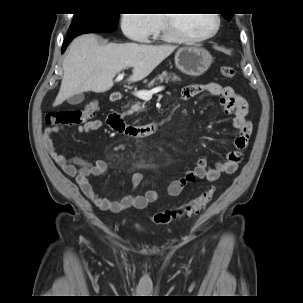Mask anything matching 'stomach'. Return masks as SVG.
<instances>
[{
    "mask_svg": "<svg viewBox=\"0 0 303 303\" xmlns=\"http://www.w3.org/2000/svg\"><path fill=\"white\" fill-rule=\"evenodd\" d=\"M212 62L211 54L200 47H182L175 54L176 67L190 76H201Z\"/></svg>",
    "mask_w": 303,
    "mask_h": 303,
    "instance_id": "stomach-1",
    "label": "stomach"
}]
</instances>
